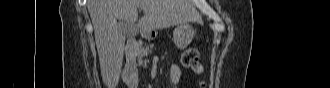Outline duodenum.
Instances as JSON below:
<instances>
[{
  "label": "duodenum",
  "mask_w": 330,
  "mask_h": 88,
  "mask_svg": "<svg viewBox=\"0 0 330 88\" xmlns=\"http://www.w3.org/2000/svg\"><path fill=\"white\" fill-rule=\"evenodd\" d=\"M140 48V43L135 39H130L127 41L125 46V53L127 57L126 67L124 69V76L125 78L131 77L128 81L132 85L137 84V76L136 72V52ZM133 67V69H131Z\"/></svg>",
  "instance_id": "obj_1"
}]
</instances>
